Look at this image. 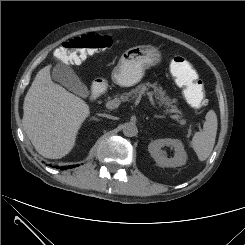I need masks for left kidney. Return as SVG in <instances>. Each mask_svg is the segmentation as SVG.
Segmentation results:
<instances>
[{
  "label": "left kidney",
  "mask_w": 245,
  "mask_h": 245,
  "mask_svg": "<svg viewBox=\"0 0 245 245\" xmlns=\"http://www.w3.org/2000/svg\"><path fill=\"white\" fill-rule=\"evenodd\" d=\"M174 149V157L167 158L166 152L161 150L163 147ZM148 151L155 162L161 167H179L186 164L187 154L182 142L178 139H157L148 145Z\"/></svg>",
  "instance_id": "obj_1"
}]
</instances>
